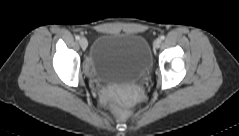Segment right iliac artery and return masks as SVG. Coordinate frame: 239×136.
I'll return each instance as SVG.
<instances>
[{"mask_svg":"<svg viewBox=\"0 0 239 136\" xmlns=\"http://www.w3.org/2000/svg\"><path fill=\"white\" fill-rule=\"evenodd\" d=\"M75 38H76V40H79V39H80V36H79V35H77Z\"/></svg>","mask_w":239,"mask_h":136,"instance_id":"right-iliac-artery-1","label":"right iliac artery"}]
</instances>
